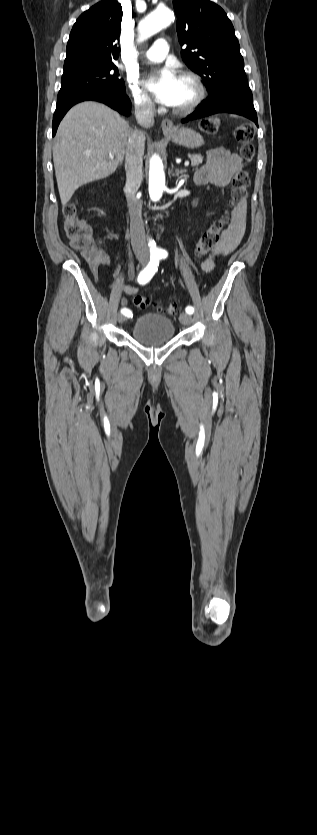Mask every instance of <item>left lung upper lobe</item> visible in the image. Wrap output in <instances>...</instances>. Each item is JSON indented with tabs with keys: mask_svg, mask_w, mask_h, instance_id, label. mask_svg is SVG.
Returning <instances> with one entry per match:
<instances>
[{
	"mask_svg": "<svg viewBox=\"0 0 317 835\" xmlns=\"http://www.w3.org/2000/svg\"><path fill=\"white\" fill-rule=\"evenodd\" d=\"M181 55L199 74L210 101L234 86H248L234 27L221 7L209 0H173Z\"/></svg>",
	"mask_w": 317,
	"mask_h": 835,
	"instance_id": "obj_1",
	"label": "left lung upper lobe"
}]
</instances>
